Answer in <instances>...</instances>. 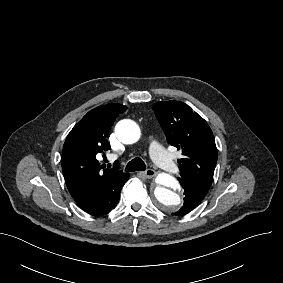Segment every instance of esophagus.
<instances>
[{"instance_id": "34e87169", "label": "esophagus", "mask_w": 283, "mask_h": 283, "mask_svg": "<svg viewBox=\"0 0 283 283\" xmlns=\"http://www.w3.org/2000/svg\"><path fill=\"white\" fill-rule=\"evenodd\" d=\"M139 174L145 178H152L156 176L157 172L153 169H146L145 171L140 172Z\"/></svg>"}]
</instances>
